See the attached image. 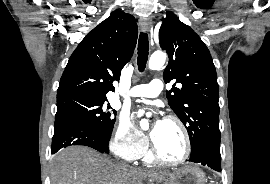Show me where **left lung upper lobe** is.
Here are the masks:
<instances>
[{
	"instance_id": "5c2ea615",
	"label": "left lung upper lobe",
	"mask_w": 270,
	"mask_h": 184,
	"mask_svg": "<svg viewBox=\"0 0 270 184\" xmlns=\"http://www.w3.org/2000/svg\"><path fill=\"white\" fill-rule=\"evenodd\" d=\"M159 43L169 56L164 81L176 80L167 92L168 103L188 131L191 154L203 142L220 143L219 86L208 48L172 12L163 19Z\"/></svg>"
}]
</instances>
